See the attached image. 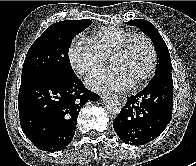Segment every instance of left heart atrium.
<instances>
[{
    "label": "left heart atrium",
    "mask_w": 196,
    "mask_h": 166,
    "mask_svg": "<svg viewBox=\"0 0 196 166\" xmlns=\"http://www.w3.org/2000/svg\"><path fill=\"white\" fill-rule=\"evenodd\" d=\"M87 85L94 90L126 91L133 85L132 81L118 68L98 70L86 79Z\"/></svg>",
    "instance_id": "1"
}]
</instances>
